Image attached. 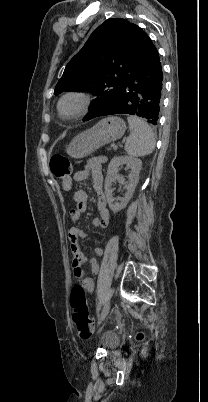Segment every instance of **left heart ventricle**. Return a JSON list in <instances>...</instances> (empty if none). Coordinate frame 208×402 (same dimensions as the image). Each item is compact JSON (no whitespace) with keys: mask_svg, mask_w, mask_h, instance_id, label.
Instances as JSON below:
<instances>
[{"mask_svg":"<svg viewBox=\"0 0 208 402\" xmlns=\"http://www.w3.org/2000/svg\"><path fill=\"white\" fill-rule=\"evenodd\" d=\"M81 106V101L77 98H72L67 100L63 106H62V111L64 114H71L76 112Z\"/></svg>","mask_w":208,"mask_h":402,"instance_id":"obj_1","label":"left heart ventricle"}]
</instances>
